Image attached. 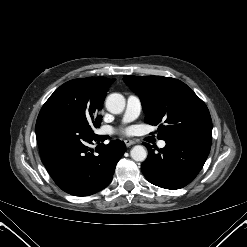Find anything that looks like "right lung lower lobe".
<instances>
[{"label":"right lung lower lobe","mask_w":247,"mask_h":247,"mask_svg":"<svg viewBox=\"0 0 247 247\" xmlns=\"http://www.w3.org/2000/svg\"><path fill=\"white\" fill-rule=\"evenodd\" d=\"M36 138L42 163L54 182L74 196L92 195L107 187L126 146L120 140L105 145L103 135L81 120L52 109H41ZM97 143L95 151L88 147Z\"/></svg>","instance_id":"obj_1"}]
</instances>
